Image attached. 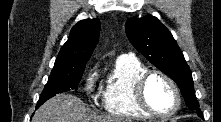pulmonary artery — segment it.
<instances>
[{
  "label": "pulmonary artery",
  "instance_id": "obj_1",
  "mask_svg": "<svg viewBox=\"0 0 221 122\" xmlns=\"http://www.w3.org/2000/svg\"><path fill=\"white\" fill-rule=\"evenodd\" d=\"M120 57L134 58L132 54H123Z\"/></svg>",
  "mask_w": 221,
  "mask_h": 122
}]
</instances>
